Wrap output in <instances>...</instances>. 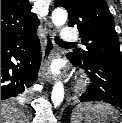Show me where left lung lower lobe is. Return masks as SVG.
<instances>
[{
  "instance_id": "left-lung-lower-lobe-1",
  "label": "left lung lower lobe",
  "mask_w": 122,
  "mask_h": 123,
  "mask_svg": "<svg viewBox=\"0 0 122 123\" xmlns=\"http://www.w3.org/2000/svg\"><path fill=\"white\" fill-rule=\"evenodd\" d=\"M67 58L75 66L84 67L92 82L80 97L81 102L102 101L122 109V63L104 60L81 63L70 54Z\"/></svg>"
}]
</instances>
